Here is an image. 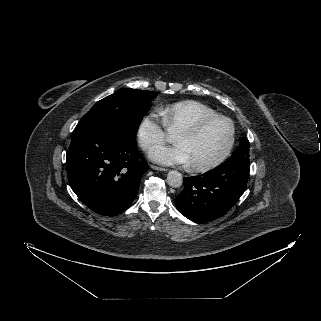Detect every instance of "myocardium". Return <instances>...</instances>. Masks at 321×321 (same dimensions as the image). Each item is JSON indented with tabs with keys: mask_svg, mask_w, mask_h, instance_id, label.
I'll use <instances>...</instances> for the list:
<instances>
[{
	"mask_svg": "<svg viewBox=\"0 0 321 321\" xmlns=\"http://www.w3.org/2000/svg\"><path fill=\"white\" fill-rule=\"evenodd\" d=\"M215 120H223L228 124L229 130H230L228 143L224 148V150L222 151V153L215 160L204 164H190V169L192 171L205 172V171L212 170L218 167L219 165H221L228 158V156L230 155L234 147L235 138H236V127L231 118L223 114L217 113V114L201 117L195 122H193L192 124L185 126L179 130L180 133L195 134L199 132L208 123Z\"/></svg>",
	"mask_w": 321,
	"mask_h": 321,
	"instance_id": "obj_1",
	"label": "myocardium"
}]
</instances>
